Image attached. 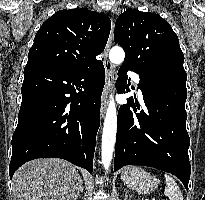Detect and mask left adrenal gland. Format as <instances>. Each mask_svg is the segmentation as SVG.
I'll return each mask as SVG.
<instances>
[{"label":"left adrenal gland","mask_w":205,"mask_h":200,"mask_svg":"<svg viewBox=\"0 0 205 200\" xmlns=\"http://www.w3.org/2000/svg\"><path fill=\"white\" fill-rule=\"evenodd\" d=\"M124 192H125V197H124V200H128V197H131L128 190L127 189H124Z\"/></svg>","instance_id":"left-adrenal-gland-1"}]
</instances>
